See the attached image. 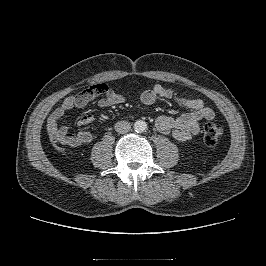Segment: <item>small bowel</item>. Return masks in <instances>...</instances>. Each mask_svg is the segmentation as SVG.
<instances>
[{"mask_svg": "<svg viewBox=\"0 0 266 266\" xmlns=\"http://www.w3.org/2000/svg\"><path fill=\"white\" fill-rule=\"evenodd\" d=\"M158 99H175L180 106L188 109V112L177 117L161 114L155 119V127L159 132L170 135L178 141L191 139L199 132L202 121L212 120L215 117V112L206 106L201 98L175 96L172 90L160 84H155L141 94V101L145 105L154 104ZM92 100L93 97H89L85 91L67 97L47 119L46 130L49 139L55 144L66 147H78L90 143L94 139V133L79 131L72 134L66 125L61 124V121L67 112L75 108H83ZM124 101L123 94L108 90L105 96L97 101V105L99 107H110L119 105ZM93 121L94 116L85 113L79 118L77 124L78 126H86Z\"/></svg>", "mask_w": 266, "mask_h": 266, "instance_id": "1", "label": "small bowel"}]
</instances>
